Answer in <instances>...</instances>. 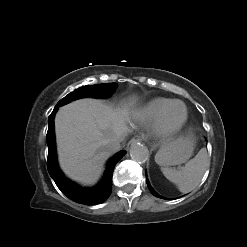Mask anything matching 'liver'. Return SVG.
<instances>
[{
  "label": "liver",
  "mask_w": 247,
  "mask_h": 247,
  "mask_svg": "<svg viewBox=\"0 0 247 247\" xmlns=\"http://www.w3.org/2000/svg\"><path fill=\"white\" fill-rule=\"evenodd\" d=\"M129 116L128 106L113 109L91 98L61 107L55 117V133L64 173L82 185L94 184L111 155L106 145L127 135Z\"/></svg>",
  "instance_id": "obj_1"
}]
</instances>
